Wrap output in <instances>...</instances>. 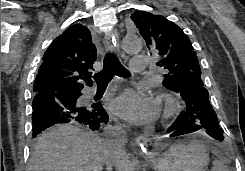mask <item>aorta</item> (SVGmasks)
<instances>
[{"label":"aorta","instance_id":"obj_1","mask_svg":"<svg viewBox=\"0 0 245 171\" xmlns=\"http://www.w3.org/2000/svg\"><path fill=\"white\" fill-rule=\"evenodd\" d=\"M122 49L126 53H137L142 49V40L137 36H125L122 40Z\"/></svg>","mask_w":245,"mask_h":171}]
</instances>
